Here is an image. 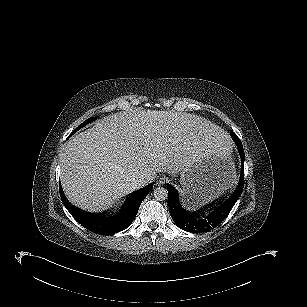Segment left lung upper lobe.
<instances>
[{"instance_id":"left-lung-upper-lobe-1","label":"left lung upper lobe","mask_w":307,"mask_h":307,"mask_svg":"<svg viewBox=\"0 0 307 307\" xmlns=\"http://www.w3.org/2000/svg\"><path fill=\"white\" fill-rule=\"evenodd\" d=\"M231 136L234 139L237 147L242 146V143H241L240 139L237 137V135L234 132H231Z\"/></svg>"}]
</instances>
